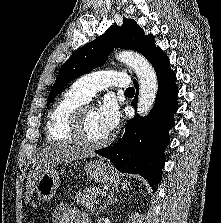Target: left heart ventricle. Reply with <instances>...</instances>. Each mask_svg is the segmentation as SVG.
<instances>
[{
    "label": "left heart ventricle",
    "instance_id": "left-heart-ventricle-1",
    "mask_svg": "<svg viewBox=\"0 0 221 223\" xmlns=\"http://www.w3.org/2000/svg\"><path fill=\"white\" fill-rule=\"evenodd\" d=\"M85 131L84 136L87 140L96 142L109 136L103 129L94 109H89L85 113Z\"/></svg>",
    "mask_w": 221,
    "mask_h": 223
}]
</instances>
